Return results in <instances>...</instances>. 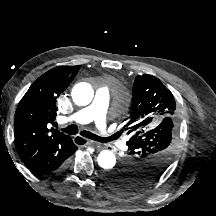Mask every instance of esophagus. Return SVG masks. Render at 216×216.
I'll list each match as a JSON object with an SVG mask.
<instances>
[{
  "mask_svg": "<svg viewBox=\"0 0 216 216\" xmlns=\"http://www.w3.org/2000/svg\"><path fill=\"white\" fill-rule=\"evenodd\" d=\"M74 142H75V143H76V142H83L84 145H94V146H96V148H98V149H101V148H102L100 144H98V143H96V142H94V141H92V140L85 139V138H83V137H81V136H75V137H74Z\"/></svg>",
  "mask_w": 216,
  "mask_h": 216,
  "instance_id": "obj_1",
  "label": "esophagus"
}]
</instances>
